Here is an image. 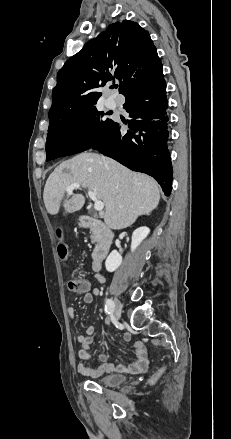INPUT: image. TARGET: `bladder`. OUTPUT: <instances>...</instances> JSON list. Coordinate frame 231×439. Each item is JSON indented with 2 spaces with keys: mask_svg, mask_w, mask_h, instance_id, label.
<instances>
[{
  "mask_svg": "<svg viewBox=\"0 0 231 439\" xmlns=\"http://www.w3.org/2000/svg\"><path fill=\"white\" fill-rule=\"evenodd\" d=\"M125 381H126V376L117 373L106 374L96 379L97 383L109 387L121 385Z\"/></svg>",
  "mask_w": 231,
  "mask_h": 439,
  "instance_id": "31cf9c89",
  "label": "bladder"
}]
</instances>
